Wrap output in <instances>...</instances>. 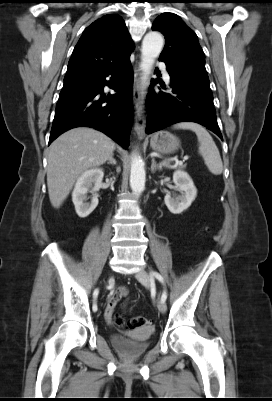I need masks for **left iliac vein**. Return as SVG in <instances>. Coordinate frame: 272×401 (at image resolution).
<instances>
[{"label": "left iliac vein", "mask_w": 272, "mask_h": 401, "mask_svg": "<svg viewBox=\"0 0 272 401\" xmlns=\"http://www.w3.org/2000/svg\"><path fill=\"white\" fill-rule=\"evenodd\" d=\"M136 278L139 282H141L145 286H150L151 283V278L149 274L145 270H140L136 273ZM157 308L161 313L166 312V304L163 302L161 299H158L157 301Z\"/></svg>", "instance_id": "4c4485c4"}]
</instances>
